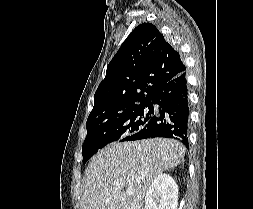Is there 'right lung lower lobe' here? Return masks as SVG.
<instances>
[{"label": "right lung lower lobe", "instance_id": "obj_1", "mask_svg": "<svg viewBox=\"0 0 253 209\" xmlns=\"http://www.w3.org/2000/svg\"><path fill=\"white\" fill-rule=\"evenodd\" d=\"M157 105L154 109L153 105ZM153 115L145 127L126 141L155 137L172 138L188 148L189 105L186 73L169 81L150 101Z\"/></svg>", "mask_w": 253, "mask_h": 209}]
</instances>
